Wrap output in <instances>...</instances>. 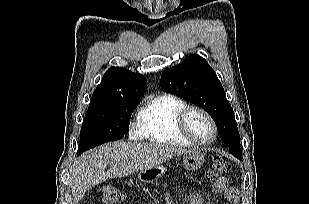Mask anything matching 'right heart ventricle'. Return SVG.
<instances>
[{
	"instance_id": "1",
	"label": "right heart ventricle",
	"mask_w": 309,
	"mask_h": 204,
	"mask_svg": "<svg viewBox=\"0 0 309 204\" xmlns=\"http://www.w3.org/2000/svg\"><path fill=\"white\" fill-rule=\"evenodd\" d=\"M186 105L183 99L170 94L149 99L137 116L140 137L158 144L190 145L177 127V116Z\"/></svg>"
}]
</instances>
